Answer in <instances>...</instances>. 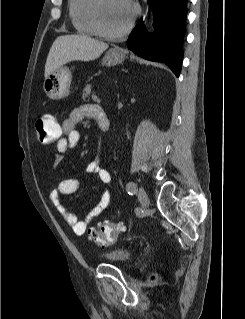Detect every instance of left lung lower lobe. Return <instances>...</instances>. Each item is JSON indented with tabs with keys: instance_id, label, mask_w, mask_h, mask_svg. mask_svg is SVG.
Masks as SVG:
<instances>
[{
	"instance_id": "0a47b994",
	"label": "left lung lower lobe",
	"mask_w": 245,
	"mask_h": 319,
	"mask_svg": "<svg viewBox=\"0 0 245 319\" xmlns=\"http://www.w3.org/2000/svg\"><path fill=\"white\" fill-rule=\"evenodd\" d=\"M154 10L155 31L150 36L139 22L132 30L127 47L147 60L168 65L177 77L183 60L187 0H149Z\"/></svg>"
}]
</instances>
